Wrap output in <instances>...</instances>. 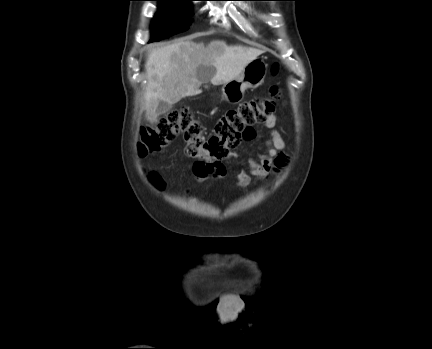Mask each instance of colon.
Listing matches in <instances>:
<instances>
[{
  "instance_id": "colon-1",
  "label": "colon",
  "mask_w": 432,
  "mask_h": 349,
  "mask_svg": "<svg viewBox=\"0 0 432 349\" xmlns=\"http://www.w3.org/2000/svg\"><path fill=\"white\" fill-rule=\"evenodd\" d=\"M273 65L272 72H277ZM279 91L272 87L267 97L252 99L241 103L237 108L228 110L217 121L210 137H204L201 122L188 109L175 110L161 118L155 126L142 128L138 142V152L146 157L161 151L179 135L185 142L186 155L198 159L197 162L208 169H222V161L241 140L253 137V125L264 122L271 116ZM152 179L161 186L155 175Z\"/></svg>"
}]
</instances>
